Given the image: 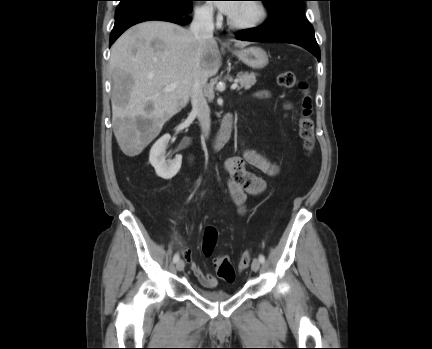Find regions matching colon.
<instances>
[{"label":"colon","instance_id":"5ec220e1","mask_svg":"<svg viewBox=\"0 0 432 349\" xmlns=\"http://www.w3.org/2000/svg\"><path fill=\"white\" fill-rule=\"evenodd\" d=\"M279 86L292 89L298 88L302 92L301 114L299 120V135L304 148L311 152L315 146L314 121H313V99L309 91V86L305 81L297 79L291 71L281 72L277 76ZM217 242V231L213 227H208L203 236L202 250L205 256H211ZM251 254L246 251L242 254L238 269L247 268L251 262ZM217 275L227 281L232 282L236 277V270L228 256H218L213 260Z\"/></svg>","mask_w":432,"mask_h":349}]
</instances>
